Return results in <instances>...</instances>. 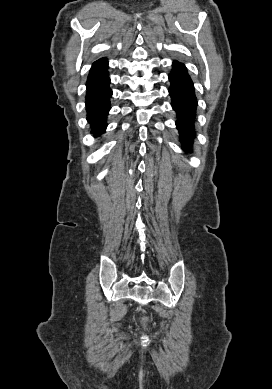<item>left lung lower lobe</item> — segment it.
Returning a JSON list of instances; mask_svg holds the SVG:
<instances>
[{"mask_svg": "<svg viewBox=\"0 0 272 389\" xmlns=\"http://www.w3.org/2000/svg\"><path fill=\"white\" fill-rule=\"evenodd\" d=\"M169 80L171 82L169 93L172 107L177 114L176 126L180 133V142L185 152H191L197 107L194 85L185 65L177 61L173 62Z\"/></svg>", "mask_w": 272, "mask_h": 389, "instance_id": "left-lung-lower-lobe-1", "label": "left lung lower lobe"}]
</instances>
